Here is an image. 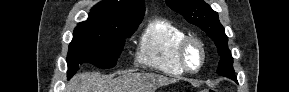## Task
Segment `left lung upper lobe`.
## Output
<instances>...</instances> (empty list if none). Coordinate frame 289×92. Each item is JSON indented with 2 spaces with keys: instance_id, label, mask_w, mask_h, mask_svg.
Returning a JSON list of instances; mask_svg holds the SVG:
<instances>
[{
  "instance_id": "obj_1",
  "label": "left lung upper lobe",
  "mask_w": 289,
  "mask_h": 92,
  "mask_svg": "<svg viewBox=\"0 0 289 92\" xmlns=\"http://www.w3.org/2000/svg\"><path fill=\"white\" fill-rule=\"evenodd\" d=\"M166 4L181 14L189 23L200 27L207 33L214 41L220 55L217 73L236 80L233 57L227 46L228 37L219 22L218 13L212 10L204 0H166Z\"/></svg>"
}]
</instances>
